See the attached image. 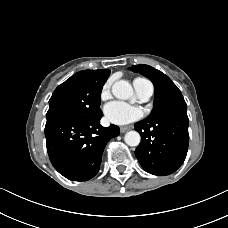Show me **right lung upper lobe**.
Here are the masks:
<instances>
[{"instance_id": "right-lung-upper-lobe-1", "label": "right lung upper lobe", "mask_w": 228, "mask_h": 228, "mask_svg": "<svg viewBox=\"0 0 228 228\" xmlns=\"http://www.w3.org/2000/svg\"><path fill=\"white\" fill-rule=\"evenodd\" d=\"M105 70H83L79 71L76 74H74V77H80L83 79H95L98 78L102 73H104Z\"/></svg>"}]
</instances>
